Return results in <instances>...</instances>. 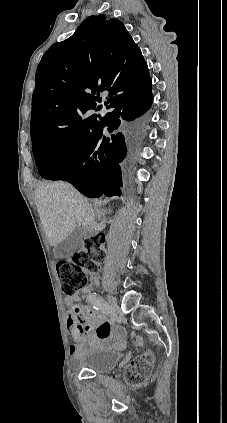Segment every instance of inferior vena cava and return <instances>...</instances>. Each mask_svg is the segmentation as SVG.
Here are the masks:
<instances>
[{
  "instance_id": "inferior-vena-cava-1",
  "label": "inferior vena cava",
  "mask_w": 227,
  "mask_h": 423,
  "mask_svg": "<svg viewBox=\"0 0 227 423\" xmlns=\"http://www.w3.org/2000/svg\"><path fill=\"white\" fill-rule=\"evenodd\" d=\"M84 206H85V208H87L88 213H90V215H89V221H90V223H93V221H94V213H93V211L91 210L89 204H84Z\"/></svg>"
}]
</instances>
